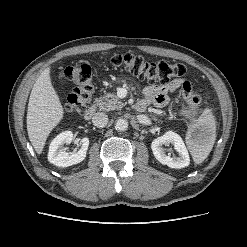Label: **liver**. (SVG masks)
I'll use <instances>...</instances> for the list:
<instances>
[{
	"label": "liver",
	"mask_w": 247,
	"mask_h": 247,
	"mask_svg": "<svg viewBox=\"0 0 247 247\" xmlns=\"http://www.w3.org/2000/svg\"><path fill=\"white\" fill-rule=\"evenodd\" d=\"M50 67L46 68L36 80L28 103L27 132L37 154H41L51 131L64 116L63 106L55 91Z\"/></svg>",
	"instance_id": "liver-1"
}]
</instances>
